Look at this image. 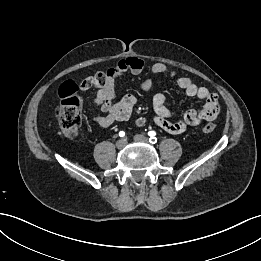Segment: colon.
Here are the masks:
<instances>
[{"label":"colon","mask_w":261,"mask_h":261,"mask_svg":"<svg viewBox=\"0 0 261 261\" xmlns=\"http://www.w3.org/2000/svg\"><path fill=\"white\" fill-rule=\"evenodd\" d=\"M90 89H100L106 84L104 72L95 74L86 79L83 83ZM82 100L78 94V86L72 81L64 82L59 88V104L55 110V115L62 133L68 137L78 135L81 125ZM144 119L138 120L139 125H143ZM216 129V124L208 123L203 127L205 133H211Z\"/></svg>","instance_id":"5ec220e1"}]
</instances>
